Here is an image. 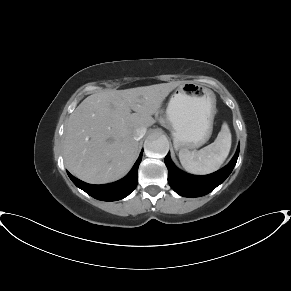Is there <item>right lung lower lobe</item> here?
Listing matches in <instances>:
<instances>
[{
	"label": "right lung lower lobe",
	"mask_w": 291,
	"mask_h": 291,
	"mask_svg": "<svg viewBox=\"0 0 291 291\" xmlns=\"http://www.w3.org/2000/svg\"><path fill=\"white\" fill-rule=\"evenodd\" d=\"M142 154L143 150L140 153V156L138 157L131 171L123 179L114 183L105 185H92L75 178L70 173H68V176L77 187H79L87 194L98 200L102 201L120 200L128 196L137 186L138 183L137 172L139 164L142 159Z\"/></svg>",
	"instance_id": "right-lung-lower-lobe-1"
}]
</instances>
